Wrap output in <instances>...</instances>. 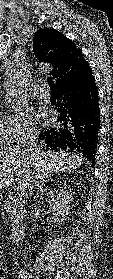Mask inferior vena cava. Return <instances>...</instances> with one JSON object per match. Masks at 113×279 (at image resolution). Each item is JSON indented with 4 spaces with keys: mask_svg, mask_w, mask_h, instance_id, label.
Returning <instances> with one entry per match:
<instances>
[{
    "mask_svg": "<svg viewBox=\"0 0 113 279\" xmlns=\"http://www.w3.org/2000/svg\"><path fill=\"white\" fill-rule=\"evenodd\" d=\"M18 149L23 152L34 153L37 149L36 147V130L33 126L27 127L22 138L18 141L17 146ZM33 184H38V180L32 178L30 183L28 184V188L30 191V196L32 195Z\"/></svg>",
    "mask_w": 113,
    "mask_h": 279,
    "instance_id": "602c4592",
    "label": "inferior vena cava"
}]
</instances>
